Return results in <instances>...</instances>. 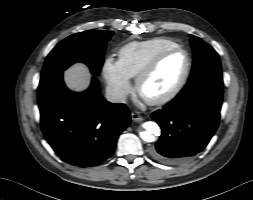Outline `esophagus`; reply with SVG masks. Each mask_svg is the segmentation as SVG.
<instances>
[{"instance_id": "34e87169", "label": "esophagus", "mask_w": 253, "mask_h": 200, "mask_svg": "<svg viewBox=\"0 0 253 200\" xmlns=\"http://www.w3.org/2000/svg\"><path fill=\"white\" fill-rule=\"evenodd\" d=\"M131 118L133 121H142L143 117H141L138 113H131Z\"/></svg>"}]
</instances>
